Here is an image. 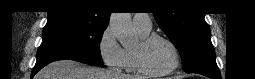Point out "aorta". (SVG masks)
Masks as SVG:
<instances>
[{
  "label": "aorta",
  "instance_id": "aorta-1",
  "mask_svg": "<svg viewBox=\"0 0 255 79\" xmlns=\"http://www.w3.org/2000/svg\"><path fill=\"white\" fill-rule=\"evenodd\" d=\"M109 26L123 47L129 46L134 40V32L130 13H112Z\"/></svg>",
  "mask_w": 255,
  "mask_h": 79
}]
</instances>
